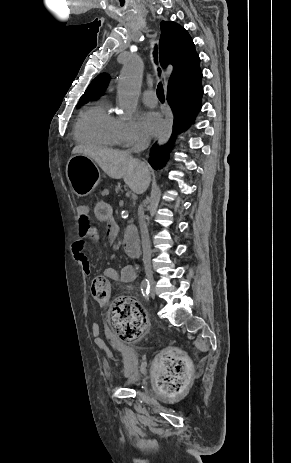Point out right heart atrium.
Here are the masks:
<instances>
[{
	"label": "right heart atrium",
	"instance_id": "d8ad5b80",
	"mask_svg": "<svg viewBox=\"0 0 291 463\" xmlns=\"http://www.w3.org/2000/svg\"><path fill=\"white\" fill-rule=\"evenodd\" d=\"M120 139L126 146H134L144 140L138 126L130 121L120 122Z\"/></svg>",
	"mask_w": 291,
	"mask_h": 463
}]
</instances>
